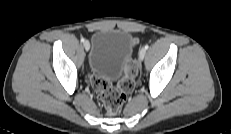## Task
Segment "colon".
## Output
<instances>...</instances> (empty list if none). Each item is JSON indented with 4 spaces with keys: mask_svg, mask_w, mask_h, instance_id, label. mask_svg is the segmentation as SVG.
<instances>
[{
    "mask_svg": "<svg viewBox=\"0 0 231 134\" xmlns=\"http://www.w3.org/2000/svg\"><path fill=\"white\" fill-rule=\"evenodd\" d=\"M137 70L138 69L135 61L129 60L126 70V77L122 83L116 87L111 86L107 81L99 77H91V85L97 92L109 115H114L120 110L126 101L127 95L133 90Z\"/></svg>",
    "mask_w": 231,
    "mask_h": 134,
    "instance_id": "1",
    "label": "colon"
}]
</instances>
